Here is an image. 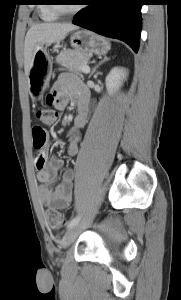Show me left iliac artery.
Here are the masks:
<instances>
[{"mask_svg":"<svg viewBox=\"0 0 181 300\" xmlns=\"http://www.w3.org/2000/svg\"><path fill=\"white\" fill-rule=\"evenodd\" d=\"M80 216L74 217L68 224L67 228H71L72 226L76 225L80 221Z\"/></svg>","mask_w":181,"mask_h":300,"instance_id":"1","label":"left iliac artery"}]
</instances>
